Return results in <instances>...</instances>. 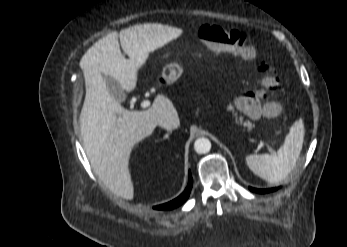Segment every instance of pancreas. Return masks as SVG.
Masks as SVG:
<instances>
[{"label": "pancreas", "mask_w": 347, "mask_h": 247, "mask_svg": "<svg viewBox=\"0 0 347 247\" xmlns=\"http://www.w3.org/2000/svg\"><path fill=\"white\" fill-rule=\"evenodd\" d=\"M227 109H228L229 111H232V113L234 114V116L237 118V113L234 112V108H233L232 105H228Z\"/></svg>", "instance_id": "obj_1"}]
</instances>
